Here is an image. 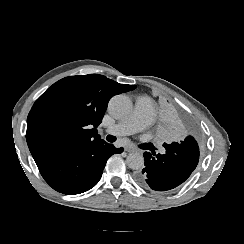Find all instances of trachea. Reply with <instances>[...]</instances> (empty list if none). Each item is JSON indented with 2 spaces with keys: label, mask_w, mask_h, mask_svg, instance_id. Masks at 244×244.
<instances>
[{
  "label": "trachea",
  "mask_w": 244,
  "mask_h": 244,
  "mask_svg": "<svg viewBox=\"0 0 244 244\" xmlns=\"http://www.w3.org/2000/svg\"><path fill=\"white\" fill-rule=\"evenodd\" d=\"M106 140L108 142H114L116 140V137L115 136H112V135H107L106 136Z\"/></svg>",
  "instance_id": "obj_1"
}]
</instances>
